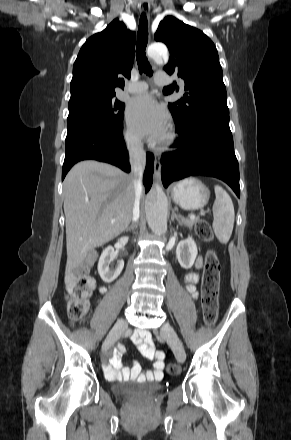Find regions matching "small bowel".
Segmentation results:
<instances>
[{
	"instance_id": "c3829d8e",
	"label": "small bowel",
	"mask_w": 291,
	"mask_h": 440,
	"mask_svg": "<svg viewBox=\"0 0 291 440\" xmlns=\"http://www.w3.org/2000/svg\"><path fill=\"white\" fill-rule=\"evenodd\" d=\"M202 265L201 258H198L196 267L200 268ZM199 281V275L196 272H191L185 277L187 290L193 295L194 298L198 297L196 291V284ZM101 293H105L106 289L99 288ZM132 340L136 342L143 356L153 361V371H141V367L135 363L131 368L123 367L120 352L124 351V348H120L119 352L114 353L108 360V364L105 366L106 376L110 379L120 377L123 379L131 378L138 382L152 381L162 376L165 364L163 361V355L154 351V344L147 331H137L132 334Z\"/></svg>"
}]
</instances>
